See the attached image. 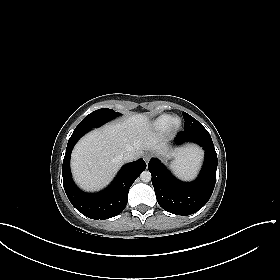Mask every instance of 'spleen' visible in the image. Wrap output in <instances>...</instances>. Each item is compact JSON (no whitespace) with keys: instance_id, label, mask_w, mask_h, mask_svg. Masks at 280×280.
<instances>
[{"instance_id":"1","label":"spleen","mask_w":280,"mask_h":280,"mask_svg":"<svg viewBox=\"0 0 280 280\" xmlns=\"http://www.w3.org/2000/svg\"><path fill=\"white\" fill-rule=\"evenodd\" d=\"M200 159V154L189 157H178L171 164V167L179 177L184 179H191L197 173Z\"/></svg>"}]
</instances>
